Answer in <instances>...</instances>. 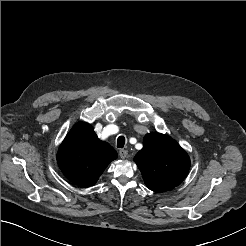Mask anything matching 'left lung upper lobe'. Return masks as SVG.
Returning <instances> with one entry per match:
<instances>
[{
	"mask_svg": "<svg viewBox=\"0 0 246 246\" xmlns=\"http://www.w3.org/2000/svg\"><path fill=\"white\" fill-rule=\"evenodd\" d=\"M146 186L164 192L178 186L190 168L188 154L172 138L150 133L144 137L143 148L135 155Z\"/></svg>",
	"mask_w": 246,
	"mask_h": 246,
	"instance_id": "5c2ea615",
	"label": "left lung upper lobe"
}]
</instances>
